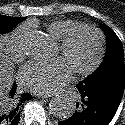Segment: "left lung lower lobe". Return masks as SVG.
I'll list each match as a JSON object with an SVG mask.
<instances>
[{
  "mask_svg": "<svg viewBox=\"0 0 125 125\" xmlns=\"http://www.w3.org/2000/svg\"><path fill=\"white\" fill-rule=\"evenodd\" d=\"M80 99L75 113L59 125H108L121 102L125 82L113 83L90 90L76 85Z\"/></svg>",
  "mask_w": 125,
  "mask_h": 125,
  "instance_id": "obj_1",
  "label": "left lung lower lobe"
}]
</instances>
